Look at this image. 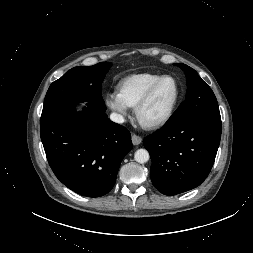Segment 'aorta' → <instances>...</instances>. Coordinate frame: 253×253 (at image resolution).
<instances>
[{"instance_id": "aorta-1", "label": "aorta", "mask_w": 253, "mask_h": 253, "mask_svg": "<svg viewBox=\"0 0 253 253\" xmlns=\"http://www.w3.org/2000/svg\"><path fill=\"white\" fill-rule=\"evenodd\" d=\"M149 152L146 149H138L134 154V159L138 163H146L149 160Z\"/></svg>"}]
</instances>
